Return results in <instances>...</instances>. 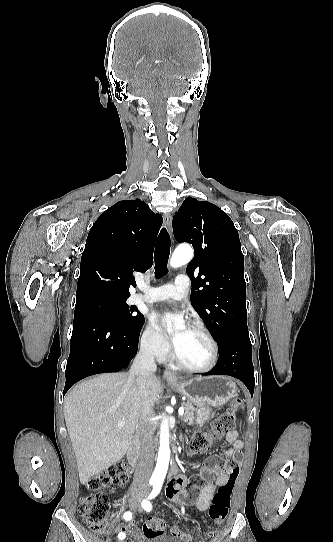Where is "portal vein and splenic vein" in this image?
<instances>
[{"label":"portal vein and splenic vein","instance_id":"18ae733b","mask_svg":"<svg viewBox=\"0 0 333 542\" xmlns=\"http://www.w3.org/2000/svg\"><path fill=\"white\" fill-rule=\"evenodd\" d=\"M184 412H185L184 408H179L178 416H183ZM117 426H125L124 420H122V422H118Z\"/></svg>","mask_w":333,"mask_h":542}]
</instances>
